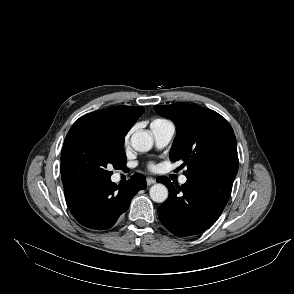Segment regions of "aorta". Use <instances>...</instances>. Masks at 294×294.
<instances>
[{"label":"aorta","mask_w":294,"mask_h":294,"mask_svg":"<svg viewBox=\"0 0 294 294\" xmlns=\"http://www.w3.org/2000/svg\"><path fill=\"white\" fill-rule=\"evenodd\" d=\"M131 145L138 152H147L153 146V138L147 132H135L131 136ZM149 194L154 202L162 203L168 198V189L165 185L157 183L150 188Z\"/></svg>","instance_id":"1"}]
</instances>
